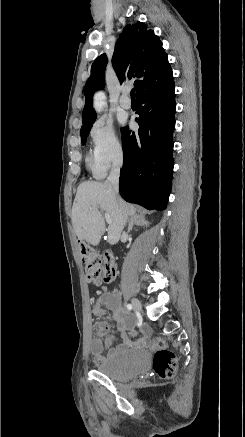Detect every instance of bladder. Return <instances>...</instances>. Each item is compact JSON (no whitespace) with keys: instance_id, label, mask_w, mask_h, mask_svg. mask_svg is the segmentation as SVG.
Wrapping results in <instances>:
<instances>
[{"instance_id":"obj_1","label":"bladder","mask_w":245,"mask_h":437,"mask_svg":"<svg viewBox=\"0 0 245 437\" xmlns=\"http://www.w3.org/2000/svg\"><path fill=\"white\" fill-rule=\"evenodd\" d=\"M150 363L145 349L117 348L95 363V369L117 381H128L144 372Z\"/></svg>"}]
</instances>
